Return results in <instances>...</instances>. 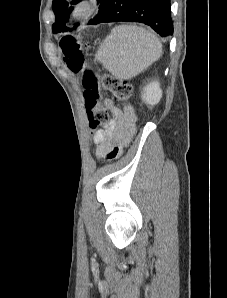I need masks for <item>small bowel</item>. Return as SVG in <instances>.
Returning a JSON list of instances; mask_svg holds the SVG:
<instances>
[{"mask_svg": "<svg viewBox=\"0 0 227 298\" xmlns=\"http://www.w3.org/2000/svg\"><path fill=\"white\" fill-rule=\"evenodd\" d=\"M105 106L112 117L95 132L96 156L100 159H117L121 149L135 135L136 117L131 107L120 109L109 99L105 101Z\"/></svg>", "mask_w": 227, "mask_h": 298, "instance_id": "obj_1", "label": "small bowel"}]
</instances>
